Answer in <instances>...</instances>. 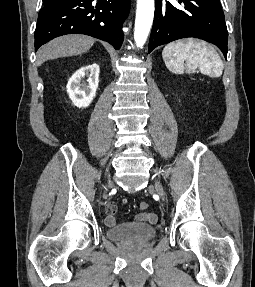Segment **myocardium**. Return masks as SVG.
I'll use <instances>...</instances> for the list:
<instances>
[{
    "label": "myocardium",
    "mask_w": 255,
    "mask_h": 287,
    "mask_svg": "<svg viewBox=\"0 0 255 287\" xmlns=\"http://www.w3.org/2000/svg\"><path fill=\"white\" fill-rule=\"evenodd\" d=\"M146 48H165V47H146Z\"/></svg>",
    "instance_id": "myocardium-1"
}]
</instances>
